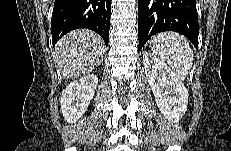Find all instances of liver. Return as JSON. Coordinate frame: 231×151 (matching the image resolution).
<instances>
[{
	"mask_svg": "<svg viewBox=\"0 0 231 151\" xmlns=\"http://www.w3.org/2000/svg\"><path fill=\"white\" fill-rule=\"evenodd\" d=\"M105 45L95 32L86 29L65 35L55 47V63L65 78L89 74L101 63Z\"/></svg>",
	"mask_w": 231,
	"mask_h": 151,
	"instance_id": "obj_1",
	"label": "liver"
}]
</instances>
